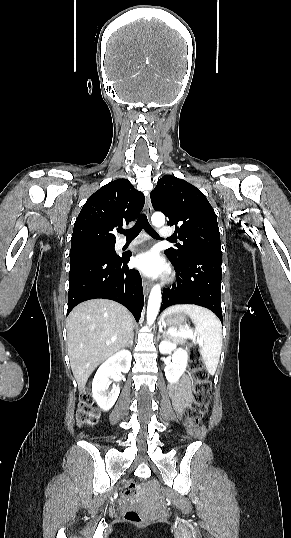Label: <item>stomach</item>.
I'll return each mask as SVG.
<instances>
[{
    "label": "stomach",
    "mask_w": 291,
    "mask_h": 538,
    "mask_svg": "<svg viewBox=\"0 0 291 538\" xmlns=\"http://www.w3.org/2000/svg\"><path fill=\"white\" fill-rule=\"evenodd\" d=\"M186 322V314L183 312H176L166 315L163 318L162 323L173 329L181 328Z\"/></svg>",
    "instance_id": "1"
}]
</instances>
